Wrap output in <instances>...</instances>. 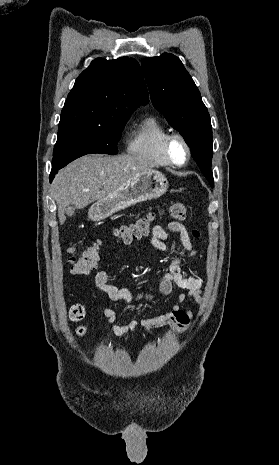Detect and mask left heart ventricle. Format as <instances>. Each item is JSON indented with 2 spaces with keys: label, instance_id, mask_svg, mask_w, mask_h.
Wrapping results in <instances>:
<instances>
[{
  "label": "left heart ventricle",
  "instance_id": "left-heart-ventricle-1",
  "mask_svg": "<svg viewBox=\"0 0 279 465\" xmlns=\"http://www.w3.org/2000/svg\"><path fill=\"white\" fill-rule=\"evenodd\" d=\"M171 155L176 162H182L185 159L186 151L180 141L176 140L172 143Z\"/></svg>",
  "mask_w": 279,
  "mask_h": 465
}]
</instances>
